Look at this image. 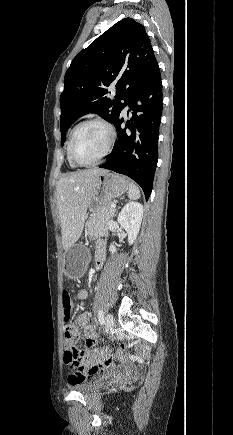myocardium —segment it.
<instances>
[{"label": "myocardium", "instance_id": "obj_1", "mask_svg": "<svg viewBox=\"0 0 233 435\" xmlns=\"http://www.w3.org/2000/svg\"><path fill=\"white\" fill-rule=\"evenodd\" d=\"M87 124H97V125L104 127L107 131V134H108V140H107V144H106L103 152L99 155V157L97 159H95L92 162L82 163V162H79L74 155L73 140H74V136H75L76 132L82 126L87 125ZM114 140H115V131H114L113 127L107 121H105L104 119H101V118L84 119V120L80 121L79 123H77L70 133L69 141H68V145H67L68 156H69L70 160L72 161V163L77 167L95 166V165L99 164L109 154L111 147L114 143Z\"/></svg>", "mask_w": 233, "mask_h": 435}]
</instances>
